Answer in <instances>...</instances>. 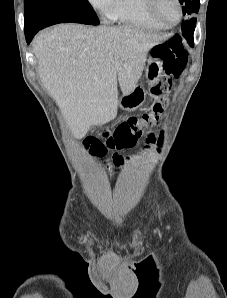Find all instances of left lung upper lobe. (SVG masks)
<instances>
[{"label":"left lung upper lobe","mask_w":227,"mask_h":298,"mask_svg":"<svg viewBox=\"0 0 227 298\" xmlns=\"http://www.w3.org/2000/svg\"><path fill=\"white\" fill-rule=\"evenodd\" d=\"M179 2L183 5V14L190 17L182 22V34L187 41H193V34L196 25V19L193 16L199 11L200 0H179Z\"/></svg>","instance_id":"1"}]
</instances>
